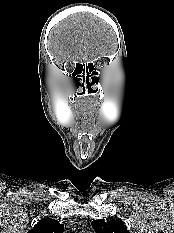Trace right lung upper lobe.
<instances>
[{
    "mask_svg": "<svg viewBox=\"0 0 174 233\" xmlns=\"http://www.w3.org/2000/svg\"><path fill=\"white\" fill-rule=\"evenodd\" d=\"M64 226L51 218H42L28 233H63Z\"/></svg>",
    "mask_w": 174,
    "mask_h": 233,
    "instance_id": "cb5924a9",
    "label": "right lung upper lobe"
}]
</instances>
